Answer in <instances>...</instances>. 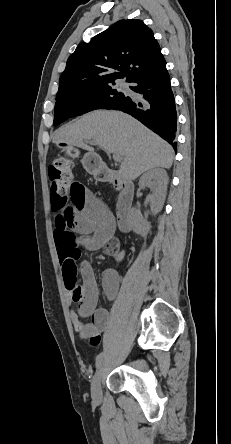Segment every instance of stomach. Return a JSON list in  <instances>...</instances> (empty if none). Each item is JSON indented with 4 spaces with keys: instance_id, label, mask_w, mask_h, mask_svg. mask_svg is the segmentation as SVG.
Returning a JSON list of instances; mask_svg holds the SVG:
<instances>
[{
    "instance_id": "0dacf381",
    "label": "stomach",
    "mask_w": 231,
    "mask_h": 444,
    "mask_svg": "<svg viewBox=\"0 0 231 444\" xmlns=\"http://www.w3.org/2000/svg\"><path fill=\"white\" fill-rule=\"evenodd\" d=\"M57 144L60 148H62L66 159H74L78 156L79 152L73 147V145L66 142H59ZM82 163L86 171L91 174H97L103 167L101 159L94 154H86L82 160Z\"/></svg>"
}]
</instances>
